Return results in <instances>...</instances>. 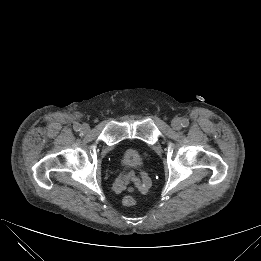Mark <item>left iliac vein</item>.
Segmentation results:
<instances>
[{"label": "left iliac vein", "instance_id": "1", "mask_svg": "<svg viewBox=\"0 0 261 261\" xmlns=\"http://www.w3.org/2000/svg\"><path fill=\"white\" fill-rule=\"evenodd\" d=\"M171 126L174 130H180L182 128L181 121L178 118H175L171 122Z\"/></svg>", "mask_w": 261, "mask_h": 261}]
</instances>
